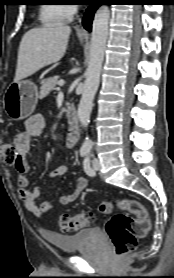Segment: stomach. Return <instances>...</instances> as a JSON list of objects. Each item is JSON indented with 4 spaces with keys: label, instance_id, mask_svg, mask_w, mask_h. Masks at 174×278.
Listing matches in <instances>:
<instances>
[{
    "label": "stomach",
    "instance_id": "stomach-1",
    "mask_svg": "<svg viewBox=\"0 0 174 278\" xmlns=\"http://www.w3.org/2000/svg\"><path fill=\"white\" fill-rule=\"evenodd\" d=\"M38 98V89L33 82L29 80L13 82L3 97L5 112L12 120L25 119L34 112Z\"/></svg>",
    "mask_w": 174,
    "mask_h": 278
}]
</instances>
